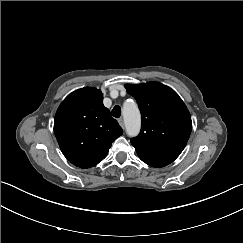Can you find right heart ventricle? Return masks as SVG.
Here are the masks:
<instances>
[{"instance_id": "right-heart-ventricle-1", "label": "right heart ventricle", "mask_w": 243, "mask_h": 243, "mask_svg": "<svg viewBox=\"0 0 243 243\" xmlns=\"http://www.w3.org/2000/svg\"><path fill=\"white\" fill-rule=\"evenodd\" d=\"M128 102H130V104H131V103H133V101H132V100H129Z\"/></svg>"}]
</instances>
